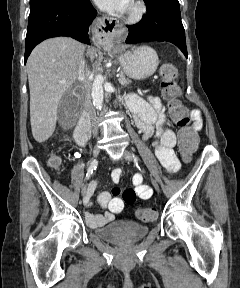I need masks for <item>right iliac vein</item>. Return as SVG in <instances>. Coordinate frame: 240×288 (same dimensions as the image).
Returning a JSON list of instances; mask_svg holds the SVG:
<instances>
[{
  "label": "right iliac vein",
  "mask_w": 240,
  "mask_h": 288,
  "mask_svg": "<svg viewBox=\"0 0 240 288\" xmlns=\"http://www.w3.org/2000/svg\"><path fill=\"white\" fill-rule=\"evenodd\" d=\"M99 152H100L99 147H97V146L94 147V149H93V158H96L99 155ZM86 191H87V184H84L82 186V190H81L82 196H84L86 194Z\"/></svg>",
  "instance_id": "right-iliac-vein-1"
}]
</instances>
